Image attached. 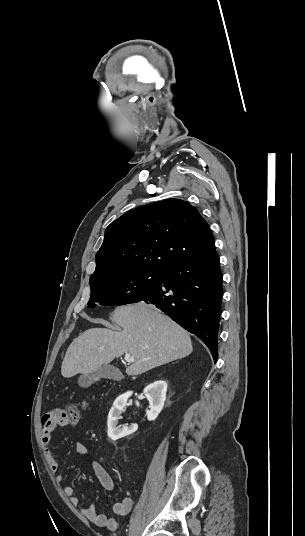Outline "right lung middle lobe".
<instances>
[{"label":"right lung middle lobe","mask_w":305,"mask_h":536,"mask_svg":"<svg viewBox=\"0 0 305 536\" xmlns=\"http://www.w3.org/2000/svg\"><path fill=\"white\" fill-rule=\"evenodd\" d=\"M163 271H134L120 277L90 281L89 308L96 302L104 306L135 303L149 295L162 282Z\"/></svg>","instance_id":"1"}]
</instances>
